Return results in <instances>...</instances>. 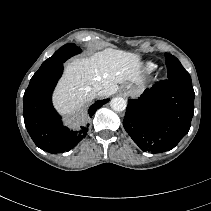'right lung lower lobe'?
Segmentation results:
<instances>
[{
  "label": "right lung lower lobe",
  "instance_id": "98d812e1",
  "mask_svg": "<svg viewBox=\"0 0 211 211\" xmlns=\"http://www.w3.org/2000/svg\"><path fill=\"white\" fill-rule=\"evenodd\" d=\"M63 64L38 70L30 80L23 97L24 122L37 147L50 153H63L74 148L87 134L88 128L79 132L63 126L61 117L52 106L51 96L62 75ZM109 99L95 102L89 108L91 117Z\"/></svg>",
  "mask_w": 211,
  "mask_h": 211
}]
</instances>
